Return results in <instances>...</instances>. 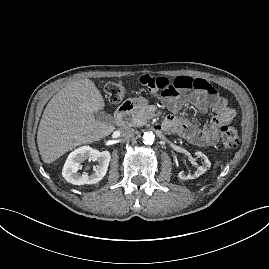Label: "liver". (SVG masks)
Returning <instances> with one entry per match:
<instances>
[{
  "mask_svg": "<svg viewBox=\"0 0 269 269\" xmlns=\"http://www.w3.org/2000/svg\"><path fill=\"white\" fill-rule=\"evenodd\" d=\"M105 102L94 82L80 79L62 88L48 102L37 132L42 160L52 163L77 146L99 141L115 126L95 119Z\"/></svg>",
  "mask_w": 269,
  "mask_h": 269,
  "instance_id": "liver-1",
  "label": "liver"
}]
</instances>
